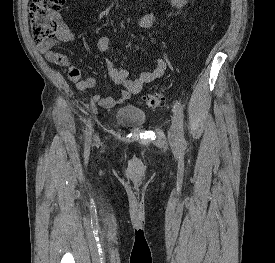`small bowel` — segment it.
<instances>
[{"label": "small bowel", "mask_w": 275, "mask_h": 263, "mask_svg": "<svg viewBox=\"0 0 275 263\" xmlns=\"http://www.w3.org/2000/svg\"><path fill=\"white\" fill-rule=\"evenodd\" d=\"M137 25L142 29H156L157 17L151 13L141 14L137 18ZM74 35L63 24L56 40L38 45V50L44 53L47 60L57 66L63 67V72L67 79L75 83L76 88L80 91L92 89L95 86V80L91 77H83L80 70L73 65L68 57L62 53L54 52L51 49L60 42H70ZM110 47V39L102 36L98 39L97 49L100 53L106 52ZM106 67L112 81L119 85L122 90L116 97H102L100 95L92 96V102L98 103L101 107L111 109L124 105L133 95L138 94L143 87L157 79L162 78L168 68L169 63L164 58H158L155 66L151 71H144L134 79L128 78L126 68L114 64L111 60L106 59Z\"/></svg>", "instance_id": "obj_1"}]
</instances>
